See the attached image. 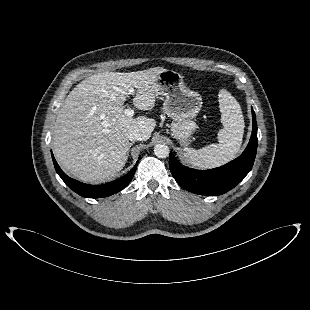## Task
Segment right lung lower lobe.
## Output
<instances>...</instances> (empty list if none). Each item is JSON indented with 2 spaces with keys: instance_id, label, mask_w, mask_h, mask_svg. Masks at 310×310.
<instances>
[{
  "instance_id": "obj_1",
  "label": "right lung lower lobe",
  "mask_w": 310,
  "mask_h": 310,
  "mask_svg": "<svg viewBox=\"0 0 310 310\" xmlns=\"http://www.w3.org/2000/svg\"><path fill=\"white\" fill-rule=\"evenodd\" d=\"M52 159L56 172L65 182V184L69 186L74 192L86 198L107 197L122 190L132 180L138 163L137 162L136 165L131 169V171L128 172L125 176L104 185L94 186L81 183L68 177L58 166L53 154Z\"/></svg>"
}]
</instances>
